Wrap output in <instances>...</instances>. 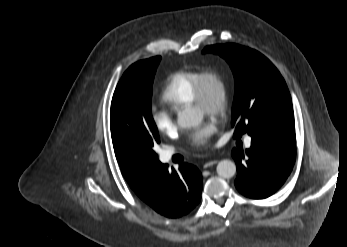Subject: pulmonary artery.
I'll list each match as a JSON object with an SVG mask.
<instances>
[{
    "label": "pulmonary artery",
    "mask_w": 347,
    "mask_h": 247,
    "mask_svg": "<svg viewBox=\"0 0 347 247\" xmlns=\"http://www.w3.org/2000/svg\"><path fill=\"white\" fill-rule=\"evenodd\" d=\"M250 144H251V139H250V138H247V139H246V145L249 147ZM172 155H173V152H172V151H166V152H164V156H165L166 158H170Z\"/></svg>",
    "instance_id": "obj_1"
}]
</instances>
